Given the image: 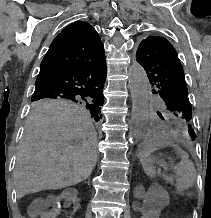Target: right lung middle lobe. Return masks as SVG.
<instances>
[{"mask_svg": "<svg viewBox=\"0 0 211 218\" xmlns=\"http://www.w3.org/2000/svg\"><path fill=\"white\" fill-rule=\"evenodd\" d=\"M32 107L34 109L56 108V107H69L80 106L89 110L91 117L96 121L102 118L101 106L104 103L103 97L98 98H63V97H42L32 98Z\"/></svg>", "mask_w": 211, "mask_h": 218, "instance_id": "dd1d6c3e", "label": "right lung middle lobe"}]
</instances>
